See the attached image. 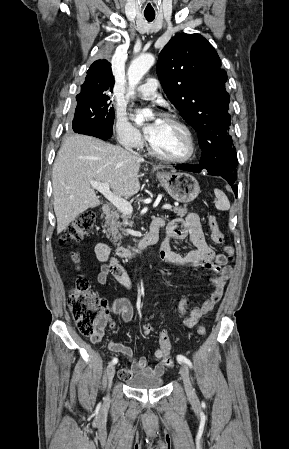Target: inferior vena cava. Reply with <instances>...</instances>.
Here are the masks:
<instances>
[{"instance_id":"inferior-vena-cava-1","label":"inferior vena cava","mask_w":289,"mask_h":449,"mask_svg":"<svg viewBox=\"0 0 289 449\" xmlns=\"http://www.w3.org/2000/svg\"><path fill=\"white\" fill-rule=\"evenodd\" d=\"M128 151L136 156H139L137 153H135L130 147H127Z\"/></svg>"}]
</instances>
